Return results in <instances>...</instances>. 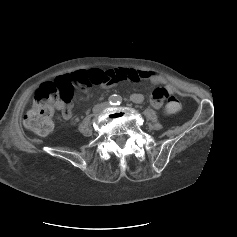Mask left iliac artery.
<instances>
[{"instance_id":"obj_1","label":"left iliac artery","mask_w":237,"mask_h":237,"mask_svg":"<svg viewBox=\"0 0 237 237\" xmlns=\"http://www.w3.org/2000/svg\"><path fill=\"white\" fill-rule=\"evenodd\" d=\"M121 101H122V99L119 98L117 103L120 104Z\"/></svg>"}]
</instances>
